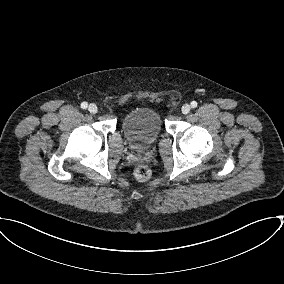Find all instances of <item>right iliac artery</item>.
Returning a JSON list of instances; mask_svg holds the SVG:
<instances>
[{"label":"right iliac artery","instance_id":"1","mask_svg":"<svg viewBox=\"0 0 284 284\" xmlns=\"http://www.w3.org/2000/svg\"><path fill=\"white\" fill-rule=\"evenodd\" d=\"M88 106V104L86 102H82L81 103V108L86 109Z\"/></svg>","mask_w":284,"mask_h":284}]
</instances>
